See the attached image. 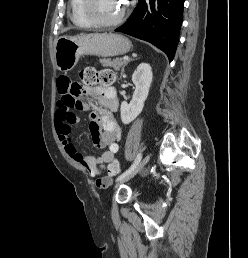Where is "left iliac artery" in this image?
I'll return each mask as SVG.
<instances>
[{"mask_svg":"<svg viewBox=\"0 0 248 258\" xmlns=\"http://www.w3.org/2000/svg\"><path fill=\"white\" fill-rule=\"evenodd\" d=\"M142 159V154L139 153L134 161V163L130 166L129 169H127L125 172H123L120 176H118V178L116 179V181L121 180L122 178H124L125 176H127L128 174H130L140 163Z\"/></svg>","mask_w":248,"mask_h":258,"instance_id":"left-iliac-artery-1","label":"left iliac artery"}]
</instances>
